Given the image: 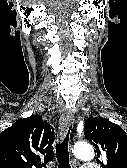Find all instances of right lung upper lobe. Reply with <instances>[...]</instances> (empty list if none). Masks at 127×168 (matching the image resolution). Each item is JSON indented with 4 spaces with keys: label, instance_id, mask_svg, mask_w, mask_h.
<instances>
[{
    "label": "right lung upper lobe",
    "instance_id": "cb5924a9",
    "mask_svg": "<svg viewBox=\"0 0 127 168\" xmlns=\"http://www.w3.org/2000/svg\"><path fill=\"white\" fill-rule=\"evenodd\" d=\"M53 142L54 129L41 116L17 120L0 133V168H46Z\"/></svg>",
    "mask_w": 127,
    "mask_h": 168
}]
</instances>
